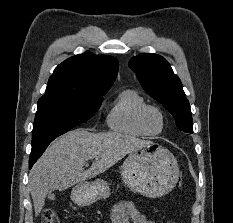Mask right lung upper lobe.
<instances>
[{"mask_svg": "<svg viewBox=\"0 0 233 223\" xmlns=\"http://www.w3.org/2000/svg\"><path fill=\"white\" fill-rule=\"evenodd\" d=\"M117 72L118 61L112 56L90 52L76 55L55 68L43 96L102 98L113 84Z\"/></svg>", "mask_w": 233, "mask_h": 223, "instance_id": "cb5924a9", "label": "right lung upper lobe"}]
</instances>
